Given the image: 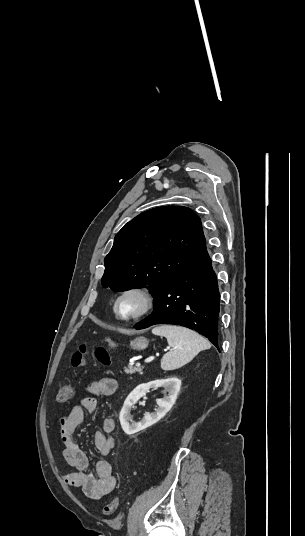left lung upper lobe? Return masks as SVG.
Segmentation results:
<instances>
[{
	"label": "left lung upper lobe",
	"instance_id": "obj_1",
	"mask_svg": "<svg viewBox=\"0 0 305 536\" xmlns=\"http://www.w3.org/2000/svg\"><path fill=\"white\" fill-rule=\"evenodd\" d=\"M206 246L200 218L183 206L145 211L115 236L104 259L103 287H147L155 296Z\"/></svg>",
	"mask_w": 305,
	"mask_h": 536
}]
</instances>
